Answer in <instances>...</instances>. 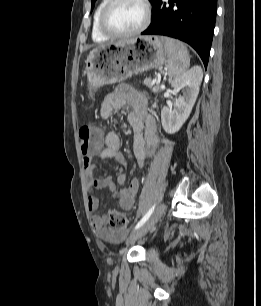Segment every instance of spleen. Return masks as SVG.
<instances>
[{
    "label": "spleen",
    "mask_w": 261,
    "mask_h": 306,
    "mask_svg": "<svg viewBox=\"0 0 261 306\" xmlns=\"http://www.w3.org/2000/svg\"><path fill=\"white\" fill-rule=\"evenodd\" d=\"M168 57V75L170 78L181 76L190 66L187 48L180 42L169 37H161Z\"/></svg>",
    "instance_id": "3e777b00"
}]
</instances>
